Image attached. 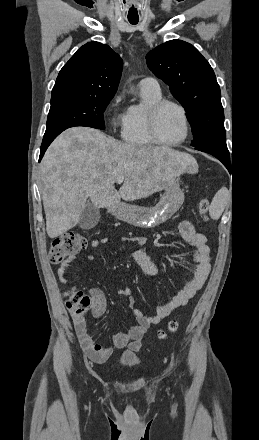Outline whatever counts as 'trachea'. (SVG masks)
Instances as JSON below:
<instances>
[{
  "instance_id": "1",
  "label": "trachea",
  "mask_w": 259,
  "mask_h": 440,
  "mask_svg": "<svg viewBox=\"0 0 259 440\" xmlns=\"http://www.w3.org/2000/svg\"><path fill=\"white\" fill-rule=\"evenodd\" d=\"M132 25H136L138 23V19H128Z\"/></svg>"
}]
</instances>
